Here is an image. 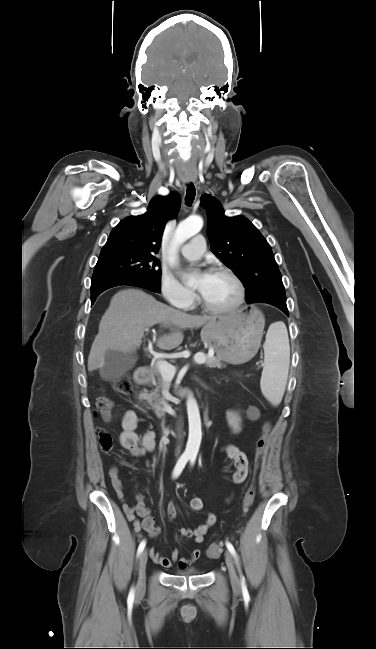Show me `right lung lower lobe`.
<instances>
[{
    "label": "right lung lower lobe",
    "mask_w": 376,
    "mask_h": 649,
    "mask_svg": "<svg viewBox=\"0 0 376 649\" xmlns=\"http://www.w3.org/2000/svg\"><path fill=\"white\" fill-rule=\"evenodd\" d=\"M119 285H130V286H136V287H141L153 292H159L158 288L153 286L152 284L145 282V281H138L135 279H129V280H124V279H116V278H110L106 279L97 283H91V303L92 305L94 304L96 298L100 293L103 291L119 286Z\"/></svg>",
    "instance_id": "obj_1"
}]
</instances>
